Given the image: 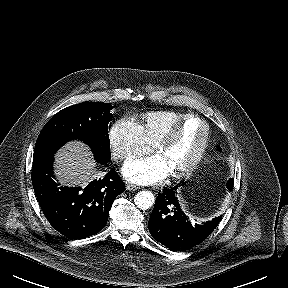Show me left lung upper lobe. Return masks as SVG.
Returning a JSON list of instances; mask_svg holds the SVG:
<instances>
[{"instance_id":"left-lung-upper-lobe-1","label":"left lung upper lobe","mask_w":288,"mask_h":288,"mask_svg":"<svg viewBox=\"0 0 288 288\" xmlns=\"http://www.w3.org/2000/svg\"><path fill=\"white\" fill-rule=\"evenodd\" d=\"M219 150H220V148H218ZM234 182V179H229V181H228V187L229 188H233V183Z\"/></svg>"}]
</instances>
